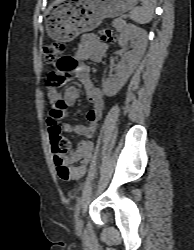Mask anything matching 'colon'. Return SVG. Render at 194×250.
Here are the masks:
<instances>
[{
  "mask_svg": "<svg viewBox=\"0 0 194 250\" xmlns=\"http://www.w3.org/2000/svg\"><path fill=\"white\" fill-rule=\"evenodd\" d=\"M100 36L103 40L112 42L115 40V33L112 29L106 28L101 30ZM65 49V43L60 41L51 42L43 47V57L47 63H55L63 65L65 63L62 58V53ZM64 68L61 67V70ZM65 80V76L61 71H51L47 77V86L54 90L60 88ZM57 106L63 107V103L59 101ZM51 137L52 152L54 155L55 164L57 166V172L62 179H69L71 171L66 164V155L73 154L71 144L68 139L63 137L61 133L54 134Z\"/></svg>",
  "mask_w": 194,
  "mask_h": 250,
  "instance_id": "colon-1",
  "label": "colon"
}]
</instances>
